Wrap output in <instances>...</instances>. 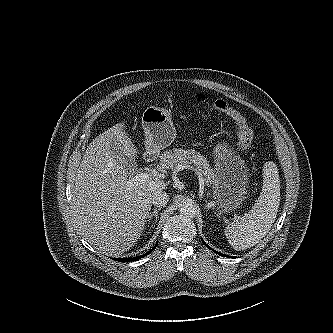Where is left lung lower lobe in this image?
Wrapping results in <instances>:
<instances>
[{
	"mask_svg": "<svg viewBox=\"0 0 333 333\" xmlns=\"http://www.w3.org/2000/svg\"><path fill=\"white\" fill-rule=\"evenodd\" d=\"M202 242H203V244L208 248V249H211L212 251H214L215 253H217V254H219V255H221V256H224V257H230V256H227V255H224V254H222V253H220V252H217V251H215V250H213L212 248H210L203 240H202Z\"/></svg>",
	"mask_w": 333,
	"mask_h": 333,
	"instance_id": "obj_1",
	"label": "left lung lower lobe"
}]
</instances>
